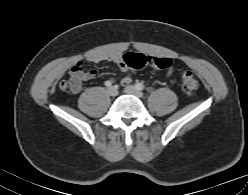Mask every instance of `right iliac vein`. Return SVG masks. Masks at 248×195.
I'll list each match as a JSON object with an SVG mask.
<instances>
[{
  "mask_svg": "<svg viewBox=\"0 0 248 195\" xmlns=\"http://www.w3.org/2000/svg\"><path fill=\"white\" fill-rule=\"evenodd\" d=\"M107 92L112 97H115L118 94V91L115 87H109Z\"/></svg>",
  "mask_w": 248,
  "mask_h": 195,
  "instance_id": "obj_1",
  "label": "right iliac vein"
}]
</instances>
